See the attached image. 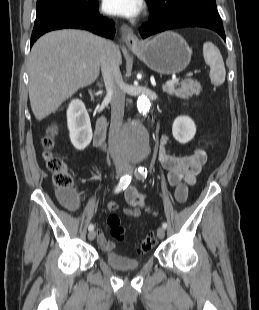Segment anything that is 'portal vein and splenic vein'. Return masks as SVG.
<instances>
[{"label":"portal vein and splenic vein","instance_id":"obj_1","mask_svg":"<svg viewBox=\"0 0 259 310\" xmlns=\"http://www.w3.org/2000/svg\"><path fill=\"white\" fill-rule=\"evenodd\" d=\"M179 82V79L178 78H174L172 80H169L165 83L166 86H172L174 84H177Z\"/></svg>","mask_w":259,"mask_h":310}]
</instances>
